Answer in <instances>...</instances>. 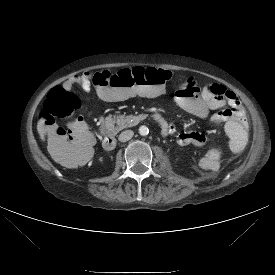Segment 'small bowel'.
I'll use <instances>...</instances> for the list:
<instances>
[{
  "label": "small bowel",
  "mask_w": 275,
  "mask_h": 275,
  "mask_svg": "<svg viewBox=\"0 0 275 275\" xmlns=\"http://www.w3.org/2000/svg\"><path fill=\"white\" fill-rule=\"evenodd\" d=\"M74 85L80 86L83 91H89V73L84 76L71 77L64 82L63 87L70 89ZM175 101L191 115L200 119H208L213 126L222 128L229 138V148L233 153L243 151L248 141V121L234 92L222 85L204 82L201 85V92L197 93L195 85L188 83L177 88ZM72 126L79 133H83L82 122H74ZM161 127L164 135L173 134L176 131L175 125L165 119ZM179 141L191 143L196 151L203 152L199 159V166L207 176L216 177L220 174L223 167V150L220 145L210 143L207 136L196 130L181 133Z\"/></svg>",
  "instance_id": "c3829d8e"
}]
</instances>
